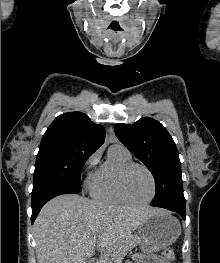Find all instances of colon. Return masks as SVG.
Returning a JSON list of instances; mask_svg holds the SVG:
<instances>
[{
    "mask_svg": "<svg viewBox=\"0 0 220 263\" xmlns=\"http://www.w3.org/2000/svg\"><path fill=\"white\" fill-rule=\"evenodd\" d=\"M162 259L166 263H171L174 260V250L172 248H167L162 254Z\"/></svg>",
    "mask_w": 220,
    "mask_h": 263,
    "instance_id": "obj_1",
    "label": "colon"
}]
</instances>
